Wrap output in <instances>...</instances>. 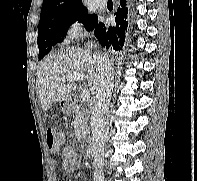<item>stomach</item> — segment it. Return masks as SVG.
I'll list each match as a JSON object with an SVG mask.
<instances>
[{"label": "stomach", "mask_w": 197, "mask_h": 181, "mask_svg": "<svg viewBox=\"0 0 197 181\" xmlns=\"http://www.w3.org/2000/svg\"><path fill=\"white\" fill-rule=\"evenodd\" d=\"M70 107V99L69 98H67V99H65V100H62L61 102H60V108L62 109V110H66L67 108H69Z\"/></svg>", "instance_id": "0dacf381"}]
</instances>
